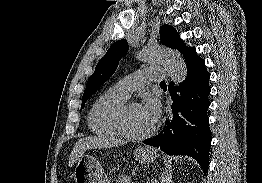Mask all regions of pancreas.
Segmentation results:
<instances>
[{
	"label": "pancreas",
	"instance_id": "1",
	"mask_svg": "<svg viewBox=\"0 0 262 183\" xmlns=\"http://www.w3.org/2000/svg\"><path fill=\"white\" fill-rule=\"evenodd\" d=\"M116 183H134L130 175H120L116 180Z\"/></svg>",
	"mask_w": 262,
	"mask_h": 183
}]
</instances>
